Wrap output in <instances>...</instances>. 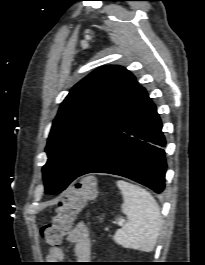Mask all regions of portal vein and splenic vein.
I'll use <instances>...</instances> for the list:
<instances>
[{
    "mask_svg": "<svg viewBox=\"0 0 205 265\" xmlns=\"http://www.w3.org/2000/svg\"><path fill=\"white\" fill-rule=\"evenodd\" d=\"M124 222H125L124 219H120V220L117 222V224H118V225H122Z\"/></svg>",
    "mask_w": 205,
    "mask_h": 265,
    "instance_id": "1",
    "label": "portal vein and splenic vein"
}]
</instances>
